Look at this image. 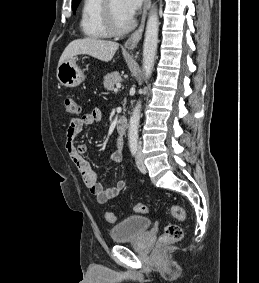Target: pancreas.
Segmentation results:
<instances>
[{
  "label": "pancreas",
  "instance_id": "pancreas-1",
  "mask_svg": "<svg viewBox=\"0 0 259 283\" xmlns=\"http://www.w3.org/2000/svg\"><path fill=\"white\" fill-rule=\"evenodd\" d=\"M121 80L122 79H121L119 72L116 71V72L107 74L104 77L103 84H104L105 89H107L108 91H112L114 90V86L120 83ZM125 104H126V100H124L123 106H125Z\"/></svg>",
  "mask_w": 259,
  "mask_h": 283
}]
</instances>
